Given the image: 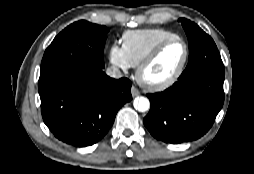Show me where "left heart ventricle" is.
<instances>
[{
  "instance_id": "1",
  "label": "left heart ventricle",
  "mask_w": 254,
  "mask_h": 174,
  "mask_svg": "<svg viewBox=\"0 0 254 174\" xmlns=\"http://www.w3.org/2000/svg\"><path fill=\"white\" fill-rule=\"evenodd\" d=\"M184 53L185 49L181 42L169 44L145 70L144 78L148 81H162L169 78L180 66Z\"/></svg>"
}]
</instances>
